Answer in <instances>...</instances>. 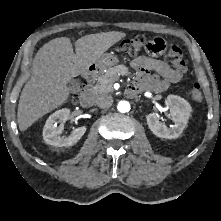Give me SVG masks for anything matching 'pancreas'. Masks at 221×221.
Segmentation results:
<instances>
[{"instance_id": "obj_1", "label": "pancreas", "mask_w": 221, "mask_h": 221, "mask_svg": "<svg viewBox=\"0 0 221 221\" xmlns=\"http://www.w3.org/2000/svg\"><path fill=\"white\" fill-rule=\"evenodd\" d=\"M121 75H130L129 68L125 65H116L108 68L104 74L97 77V83L93 86L92 91L96 94L113 92V83L117 81Z\"/></svg>"}]
</instances>
